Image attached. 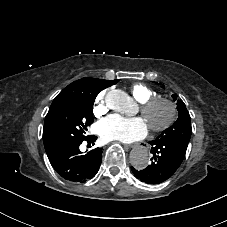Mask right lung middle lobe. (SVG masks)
<instances>
[{"label": "right lung middle lobe", "mask_w": 227, "mask_h": 227, "mask_svg": "<svg viewBox=\"0 0 227 227\" xmlns=\"http://www.w3.org/2000/svg\"><path fill=\"white\" fill-rule=\"evenodd\" d=\"M104 87L98 79H90L78 88L61 91L53 100L45 117L43 143L46 152L68 142L85 138L93 123V104Z\"/></svg>", "instance_id": "right-lung-middle-lobe-1"}]
</instances>
